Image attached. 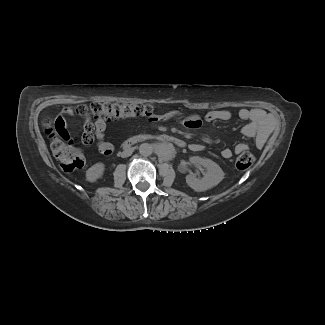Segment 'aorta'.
<instances>
[{"label": "aorta", "instance_id": "obj_1", "mask_svg": "<svg viewBox=\"0 0 325 325\" xmlns=\"http://www.w3.org/2000/svg\"><path fill=\"white\" fill-rule=\"evenodd\" d=\"M139 152L144 157L150 156L153 153V146L148 143H143L139 146Z\"/></svg>", "mask_w": 325, "mask_h": 325}]
</instances>
